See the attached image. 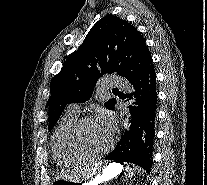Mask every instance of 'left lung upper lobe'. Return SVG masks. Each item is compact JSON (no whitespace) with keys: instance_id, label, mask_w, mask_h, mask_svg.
Returning a JSON list of instances; mask_svg holds the SVG:
<instances>
[{"instance_id":"1","label":"left lung upper lobe","mask_w":207,"mask_h":185,"mask_svg":"<svg viewBox=\"0 0 207 185\" xmlns=\"http://www.w3.org/2000/svg\"><path fill=\"white\" fill-rule=\"evenodd\" d=\"M152 63L146 42L134 26L117 16H104L51 81L49 131L67 104L90 99L93 87L104 74L115 73L129 81ZM115 103V98L110 99L105 107L112 110Z\"/></svg>"}]
</instances>
